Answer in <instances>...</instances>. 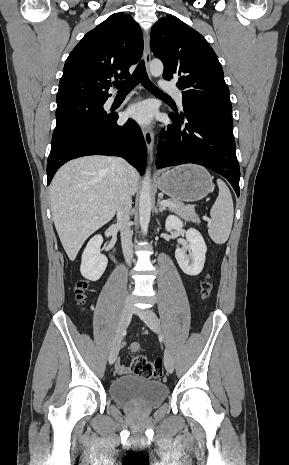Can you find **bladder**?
Wrapping results in <instances>:
<instances>
[{"instance_id": "1", "label": "bladder", "mask_w": 289, "mask_h": 465, "mask_svg": "<svg viewBox=\"0 0 289 465\" xmlns=\"http://www.w3.org/2000/svg\"><path fill=\"white\" fill-rule=\"evenodd\" d=\"M113 401L124 406L155 407L168 396V387L161 381L128 375L114 379L109 386Z\"/></svg>"}]
</instances>
